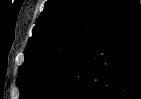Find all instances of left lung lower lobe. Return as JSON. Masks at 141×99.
I'll list each match as a JSON object with an SVG mask.
<instances>
[{
	"label": "left lung lower lobe",
	"mask_w": 141,
	"mask_h": 99,
	"mask_svg": "<svg viewBox=\"0 0 141 99\" xmlns=\"http://www.w3.org/2000/svg\"><path fill=\"white\" fill-rule=\"evenodd\" d=\"M38 99H141V6L122 0Z\"/></svg>",
	"instance_id": "obj_1"
}]
</instances>
